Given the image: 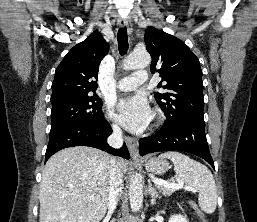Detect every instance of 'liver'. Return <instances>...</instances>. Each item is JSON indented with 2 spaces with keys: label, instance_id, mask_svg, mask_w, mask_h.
<instances>
[{
  "label": "liver",
  "instance_id": "6515ba94",
  "mask_svg": "<svg viewBox=\"0 0 257 222\" xmlns=\"http://www.w3.org/2000/svg\"><path fill=\"white\" fill-rule=\"evenodd\" d=\"M110 158L86 146L54 154L42 173L39 222L101 221L108 207ZM116 162L123 176L127 164L123 159Z\"/></svg>",
  "mask_w": 257,
  "mask_h": 222
}]
</instances>
